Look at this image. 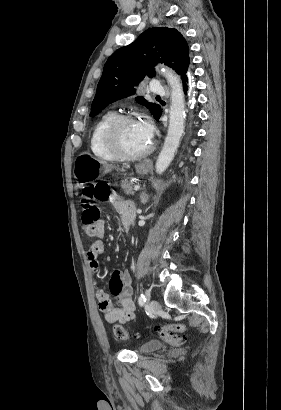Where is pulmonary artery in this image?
Listing matches in <instances>:
<instances>
[{"label": "pulmonary artery", "mask_w": 281, "mask_h": 410, "mask_svg": "<svg viewBox=\"0 0 281 410\" xmlns=\"http://www.w3.org/2000/svg\"><path fill=\"white\" fill-rule=\"evenodd\" d=\"M150 92L154 94H164L165 88L157 80H153L150 83Z\"/></svg>", "instance_id": "1"}]
</instances>
